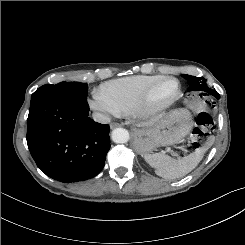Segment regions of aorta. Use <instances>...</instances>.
Returning a JSON list of instances; mask_svg holds the SVG:
<instances>
[{"mask_svg":"<svg viewBox=\"0 0 245 245\" xmlns=\"http://www.w3.org/2000/svg\"><path fill=\"white\" fill-rule=\"evenodd\" d=\"M129 139V132L124 128H116L112 131V140L115 143H126Z\"/></svg>","mask_w":245,"mask_h":245,"instance_id":"762f6f07","label":"aorta"}]
</instances>
